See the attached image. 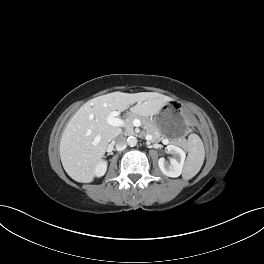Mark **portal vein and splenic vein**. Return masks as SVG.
<instances>
[{
    "instance_id": "portal-vein-and-splenic-vein-1",
    "label": "portal vein and splenic vein",
    "mask_w": 264,
    "mask_h": 264,
    "mask_svg": "<svg viewBox=\"0 0 264 264\" xmlns=\"http://www.w3.org/2000/svg\"><path fill=\"white\" fill-rule=\"evenodd\" d=\"M119 111H112L109 113L108 117H107V122L115 127H125L127 125L126 121L119 118ZM135 123L137 124V126H139L141 124V122L139 120H135Z\"/></svg>"
}]
</instances>
